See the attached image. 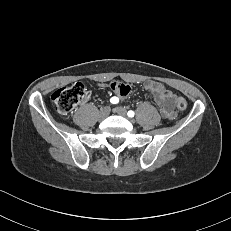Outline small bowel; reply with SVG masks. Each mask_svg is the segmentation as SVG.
<instances>
[{
    "mask_svg": "<svg viewBox=\"0 0 231 231\" xmlns=\"http://www.w3.org/2000/svg\"><path fill=\"white\" fill-rule=\"evenodd\" d=\"M111 88L121 96L129 93V87L123 83H112ZM145 89L153 96L155 102L159 106L160 114L163 118L172 120L175 118L176 113L172 107V100L174 94L167 90L164 85L155 81H147Z\"/></svg>",
    "mask_w": 231,
    "mask_h": 231,
    "instance_id": "1",
    "label": "small bowel"
}]
</instances>
